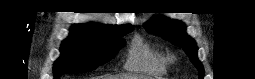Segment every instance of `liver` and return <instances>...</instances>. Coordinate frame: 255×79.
Returning a JSON list of instances; mask_svg holds the SVG:
<instances>
[{
	"label": "liver",
	"instance_id": "1",
	"mask_svg": "<svg viewBox=\"0 0 255 79\" xmlns=\"http://www.w3.org/2000/svg\"><path fill=\"white\" fill-rule=\"evenodd\" d=\"M142 77L135 76V75H119V76H105L99 77L97 79H140Z\"/></svg>",
	"mask_w": 255,
	"mask_h": 79
}]
</instances>
